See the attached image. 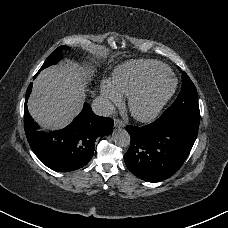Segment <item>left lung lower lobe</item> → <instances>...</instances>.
I'll use <instances>...</instances> for the list:
<instances>
[{
	"label": "left lung lower lobe",
	"instance_id": "left-lung-lower-lobe-1",
	"mask_svg": "<svg viewBox=\"0 0 228 228\" xmlns=\"http://www.w3.org/2000/svg\"><path fill=\"white\" fill-rule=\"evenodd\" d=\"M199 123L162 121L128 125L131 143L124 155L127 168L139 179L159 182L174 175L188 157L198 134Z\"/></svg>",
	"mask_w": 228,
	"mask_h": 228
}]
</instances>
